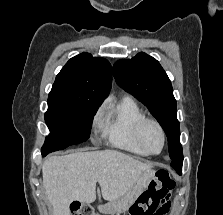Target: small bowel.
Instances as JSON below:
<instances>
[{"instance_id": "c3829d8e", "label": "small bowel", "mask_w": 223, "mask_h": 215, "mask_svg": "<svg viewBox=\"0 0 223 215\" xmlns=\"http://www.w3.org/2000/svg\"><path fill=\"white\" fill-rule=\"evenodd\" d=\"M164 203H165V211L163 214H158V215H165L168 212V209H169L168 198L164 201Z\"/></svg>"}]
</instances>
